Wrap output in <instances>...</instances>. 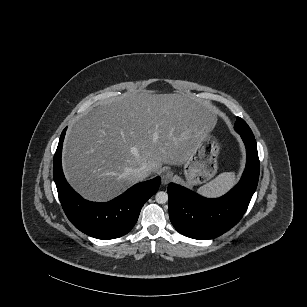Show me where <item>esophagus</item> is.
<instances>
[{
	"label": "esophagus",
	"mask_w": 307,
	"mask_h": 307,
	"mask_svg": "<svg viewBox=\"0 0 307 307\" xmlns=\"http://www.w3.org/2000/svg\"><path fill=\"white\" fill-rule=\"evenodd\" d=\"M173 177V172L170 170H166L162 174V183L164 185L168 184Z\"/></svg>",
	"instance_id": "esophagus-1"
}]
</instances>
